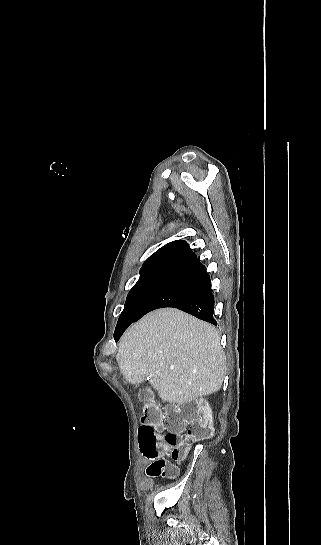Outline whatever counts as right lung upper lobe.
<instances>
[{
	"mask_svg": "<svg viewBox=\"0 0 321 545\" xmlns=\"http://www.w3.org/2000/svg\"><path fill=\"white\" fill-rule=\"evenodd\" d=\"M194 258H196V255L192 252L188 243L183 240H176L158 249L144 262L141 269L163 267L176 270Z\"/></svg>",
	"mask_w": 321,
	"mask_h": 545,
	"instance_id": "cb5924a9",
	"label": "right lung upper lobe"
}]
</instances>
